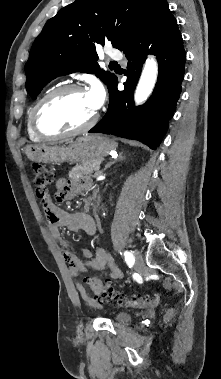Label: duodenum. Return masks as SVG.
<instances>
[{"label":"duodenum","instance_id":"obj_1","mask_svg":"<svg viewBox=\"0 0 221 379\" xmlns=\"http://www.w3.org/2000/svg\"><path fill=\"white\" fill-rule=\"evenodd\" d=\"M91 205V202H88L87 206L89 207Z\"/></svg>","mask_w":221,"mask_h":379}]
</instances>
